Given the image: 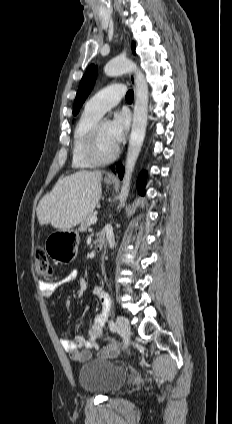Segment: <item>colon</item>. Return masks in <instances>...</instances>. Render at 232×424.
I'll use <instances>...</instances> for the list:
<instances>
[{"label": "colon", "mask_w": 232, "mask_h": 424, "mask_svg": "<svg viewBox=\"0 0 232 424\" xmlns=\"http://www.w3.org/2000/svg\"><path fill=\"white\" fill-rule=\"evenodd\" d=\"M35 269L38 276L49 278L53 275V267L42 248H37L34 252ZM102 343L109 345L110 348L121 349L120 344H116L115 338L107 336L102 338Z\"/></svg>", "instance_id": "obj_1"}]
</instances>
